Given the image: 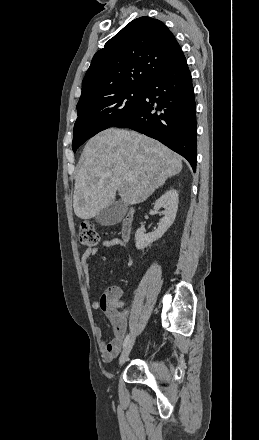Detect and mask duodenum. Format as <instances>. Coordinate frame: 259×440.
<instances>
[{
	"mask_svg": "<svg viewBox=\"0 0 259 440\" xmlns=\"http://www.w3.org/2000/svg\"><path fill=\"white\" fill-rule=\"evenodd\" d=\"M134 225V210L129 209L125 212L121 222V236L124 241H128L131 237Z\"/></svg>",
	"mask_w": 259,
	"mask_h": 440,
	"instance_id": "obj_1",
	"label": "duodenum"
}]
</instances>
